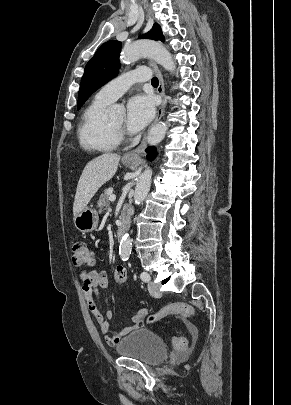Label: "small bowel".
Segmentation results:
<instances>
[{
  "mask_svg": "<svg viewBox=\"0 0 291 405\" xmlns=\"http://www.w3.org/2000/svg\"><path fill=\"white\" fill-rule=\"evenodd\" d=\"M108 287V275L104 270H91L85 271L81 274V289L88 309L93 316L101 334L104 336L108 345L117 344L123 337L128 335L134 329L139 328L143 324L146 310H139L134 316V323L122 330L111 332L109 329V321L113 319L114 312L109 307V300L105 296L104 291ZM102 299L107 310L105 315L99 311L97 307V300Z\"/></svg>",
  "mask_w": 291,
  "mask_h": 405,
  "instance_id": "c3829d8e",
  "label": "small bowel"
}]
</instances>
